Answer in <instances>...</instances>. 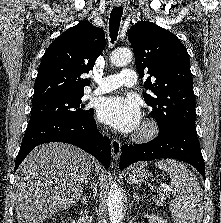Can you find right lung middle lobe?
Instances as JSON below:
<instances>
[{
    "mask_svg": "<svg viewBox=\"0 0 221 223\" xmlns=\"http://www.w3.org/2000/svg\"><path fill=\"white\" fill-rule=\"evenodd\" d=\"M83 95L84 93H79L32 102L33 108L29 124L54 117L80 120L93 115V108H85V105L82 104Z\"/></svg>",
    "mask_w": 221,
    "mask_h": 223,
    "instance_id": "1",
    "label": "right lung middle lobe"
}]
</instances>
